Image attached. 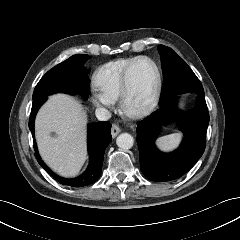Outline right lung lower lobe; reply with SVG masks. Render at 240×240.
Returning a JSON list of instances; mask_svg holds the SVG:
<instances>
[{
    "label": "right lung lower lobe",
    "mask_w": 240,
    "mask_h": 240,
    "mask_svg": "<svg viewBox=\"0 0 240 240\" xmlns=\"http://www.w3.org/2000/svg\"><path fill=\"white\" fill-rule=\"evenodd\" d=\"M47 100V96H41L33 100L32 110L29 119V129L34 137V119L40 106ZM111 124L109 122H98L88 125V151L90 162L87 170L80 176L75 178H63L55 174L44 162L37 151V145L34 140L35 156L39 164L46 170L54 179L63 185L72 187H82L96 182L102 171V163L104 152L108 144L112 140L110 133Z\"/></svg>",
    "instance_id": "obj_1"
}]
</instances>
